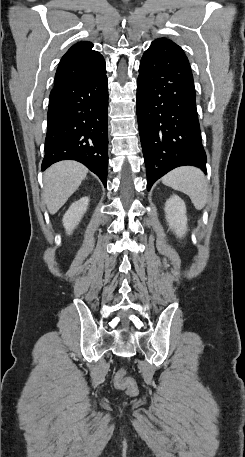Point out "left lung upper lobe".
<instances>
[{"label":"left lung upper lobe","mask_w":245,"mask_h":457,"mask_svg":"<svg viewBox=\"0 0 245 457\" xmlns=\"http://www.w3.org/2000/svg\"><path fill=\"white\" fill-rule=\"evenodd\" d=\"M162 39H163V38H162ZM159 40H161V39H157V40H155V41H154L152 44H154L155 42H157V41H159ZM152 44H151V45H152Z\"/></svg>","instance_id":"5c2ea615"}]
</instances>
